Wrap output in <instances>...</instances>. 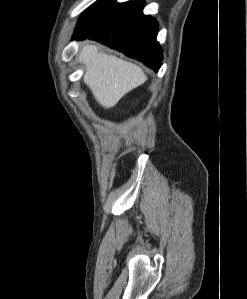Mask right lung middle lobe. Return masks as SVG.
<instances>
[{
	"instance_id": "right-lung-middle-lobe-1",
	"label": "right lung middle lobe",
	"mask_w": 247,
	"mask_h": 299,
	"mask_svg": "<svg viewBox=\"0 0 247 299\" xmlns=\"http://www.w3.org/2000/svg\"><path fill=\"white\" fill-rule=\"evenodd\" d=\"M135 2L116 3V0H99L84 12L75 28L74 37L90 35L120 20Z\"/></svg>"
}]
</instances>
